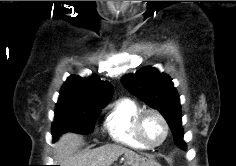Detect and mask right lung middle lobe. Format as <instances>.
<instances>
[{
	"label": "right lung middle lobe",
	"mask_w": 236,
	"mask_h": 166,
	"mask_svg": "<svg viewBox=\"0 0 236 166\" xmlns=\"http://www.w3.org/2000/svg\"><path fill=\"white\" fill-rule=\"evenodd\" d=\"M105 106H91L77 103H57L52 124L53 139L62 133L73 131L90 134L94 130L96 118Z\"/></svg>",
	"instance_id": "obj_1"
}]
</instances>
